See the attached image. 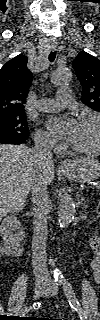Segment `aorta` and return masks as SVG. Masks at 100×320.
Returning a JSON list of instances; mask_svg holds the SVG:
<instances>
[{"mask_svg": "<svg viewBox=\"0 0 100 320\" xmlns=\"http://www.w3.org/2000/svg\"><path fill=\"white\" fill-rule=\"evenodd\" d=\"M72 74L68 68H58L52 74V82L55 85L67 84L71 80ZM59 215L58 226L63 228L67 227L74 219L75 216V203L73 198L66 192H62L59 195ZM49 264L55 267V263L52 258H49ZM54 276L61 278V272L59 269H54Z\"/></svg>", "mask_w": 100, "mask_h": 320, "instance_id": "obj_1", "label": "aorta"}]
</instances>
